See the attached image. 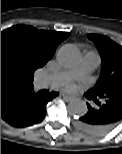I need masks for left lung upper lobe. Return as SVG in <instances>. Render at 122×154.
Wrapping results in <instances>:
<instances>
[{
	"instance_id": "obj_1",
	"label": "left lung upper lobe",
	"mask_w": 122,
	"mask_h": 154,
	"mask_svg": "<svg viewBox=\"0 0 122 154\" xmlns=\"http://www.w3.org/2000/svg\"><path fill=\"white\" fill-rule=\"evenodd\" d=\"M87 37L95 43L103 65L96 85L85 94L103 99L122 89V47L104 35L88 34Z\"/></svg>"
}]
</instances>
